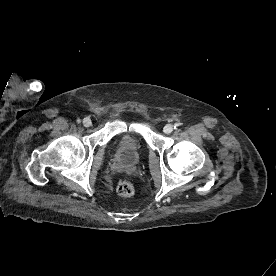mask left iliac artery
<instances>
[{
	"label": "left iliac artery",
	"instance_id": "left-iliac-artery-1",
	"mask_svg": "<svg viewBox=\"0 0 276 276\" xmlns=\"http://www.w3.org/2000/svg\"><path fill=\"white\" fill-rule=\"evenodd\" d=\"M178 128V124H174V129H177Z\"/></svg>",
	"mask_w": 276,
	"mask_h": 276
}]
</instances>
